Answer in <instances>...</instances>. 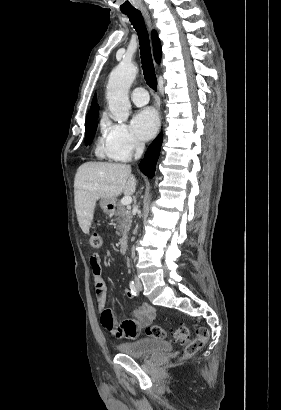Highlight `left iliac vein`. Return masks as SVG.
I'll list each match as a JSON object with an SVG mask.
<instances>
[{
  "instance_id": "4c4485c4",
  "label": "left iliac vein",
  "mask_w": 281,
  "mask_h": 410,
  "mask_svg": "<svg viewBox=\"0 0 281 410\" xmlns=\"http://www.w3.org/2000/svg\"><path fill=\"white\" fill-rule=\"evenodd\" d=\"M137 289L139 290V291H141L142 290V283L139 281V282H137Z\"/></svg>"
}]
</instances>
